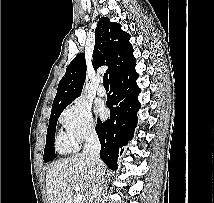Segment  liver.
I'll use <instances>...</instances> for the list:
<instances>
[{
    "instance_id": "6515ba94",
    "label": "liver",
    "mask_w": 214,
    "mask_h": 203,
    "mask_svg": "<svg viewBox=\"0 0 214 203\" xmlns=\"http://www.w3.org/2000/svg\"><path fill=\"white\" fill-rule=\"evenodd\" d=\"M80 186L83 202L90 192V167L83 154H76L52 164L46 173V190L49 203H65L73 191Z\"/></svg>"
}]
</instances>
